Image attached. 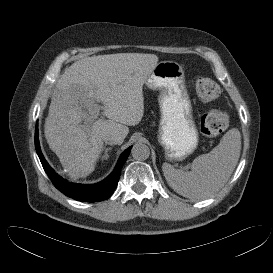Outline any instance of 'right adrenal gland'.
Instances as JSON below:
<instances>
[{"instance_id": "1", "label": "right adrenal gland", "mask_w": 273, "mask_h": 273, "mask_svg": "<svg viewBox=\"0 0 273 273\" xmlns=\"http://www.w3.org/2000/svg\"><path fill=\"white\" fill-rule=\"evenodd\" d=\"M111 149H112L111 147L105 149L104 155L102 156V161L107 160L109 158L108 152Z\"/></svg>"}]
</instances>
